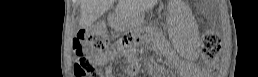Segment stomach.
I'll return each mask as SVG.
<instances>
[{
  "label": "stomach",
  "mask_w": 258,
  "mask_h": 77,
  "mask_svg": "<svg viewBox=\"0 0 258 77\" xmlns=\"http://www.w3.org/2000/svg\"><path fill=\"white\" fill-rule=\"evenodd\" d=\"M122 25L125 27L128 25V20L126 18H123Z\"/></svg>",
  "instance_id": "obj_1"
}]
</instances>
